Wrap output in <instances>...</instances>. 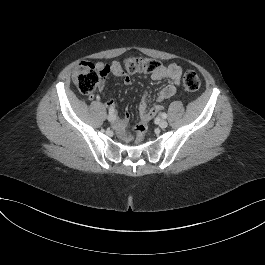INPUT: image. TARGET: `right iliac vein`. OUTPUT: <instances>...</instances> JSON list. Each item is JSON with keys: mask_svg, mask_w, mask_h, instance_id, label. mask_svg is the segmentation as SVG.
Segmentation results:
<instances>
[{"mask_svg": "<svg viewBox=\"0 0 265 265\" xmlns=\"http://www.w3.org/2000/svg\"><path fill=\"white\" fill-rule=\"evenodd\" d=\"M115 119H116V116H115L113 113H109V114H108V120H109L110 122H114Z\"/></svg>", "mask_w": 265, "mask_h": 265, "instance_id": "right-iliac-vein-1", "label": "right iliac vein"}]
</instances>
